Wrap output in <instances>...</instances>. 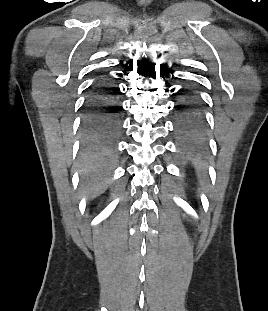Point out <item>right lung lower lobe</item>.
<instances>
[{
    "instance_id": "1",
    "label": "right lung lower lobe",
    "mask_w": 268,
    "mask_h": 311,
    "mask_svg": "<svg viewBox=\"0 0 268 311\" xmlns=\"http://www.w3.org/2000/svg\"><path fill=\"white\" fill-rule=\"evenodd\" d=\"M114 87L100 81L88 96L82 119L84 136L90 141L115 139L121 131L120 101Z\"/></svg>"
}]
</instances>
